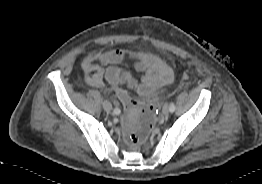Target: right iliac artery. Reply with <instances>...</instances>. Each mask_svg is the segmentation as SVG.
I'll return each instance as SVG.
<instances>
[{
	"label": "right iliac artery",
	"mask_w": 262,
	"mask_h": 184,
	"mask_svg": "<svg viewBox=\"0 0 262 184\" xmlns=\"http://www.w3.org/2000/svg\"><path fill=\"white\" fill-rule=\"evenodd\" d=\"M114 114H119L120 113V109L119 108H115L113 111Z\"/></svg>",
	"instance_id": "obj_1"
}]
</instances>
